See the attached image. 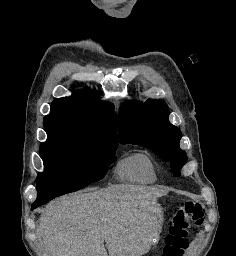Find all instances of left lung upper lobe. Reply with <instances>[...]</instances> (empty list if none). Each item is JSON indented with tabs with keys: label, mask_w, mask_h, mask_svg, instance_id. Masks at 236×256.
<instances>
[{
	"label": "left lung upper lobe",
	"mask_w": 236,
	"mask_h": 256,
	"mask_svg": "<svg viewBox=\"0 0 236 256\" xmlns=\"http://www.w3.org/2000/svg\"><path fill=\"white\" fill-rule=\"evenodd\" d=\"M168 115V106L163 101L125 102L119 112V137L122 144L151 149L170 162L172 173L179 176L187 156L179 147L181 131L169 122Z\"/></svg>",
	"instance_id": "left-lung-upper-lobe-1"
}]
</instances>
